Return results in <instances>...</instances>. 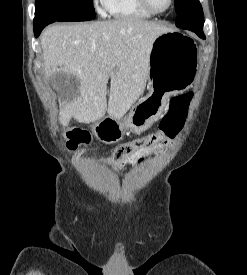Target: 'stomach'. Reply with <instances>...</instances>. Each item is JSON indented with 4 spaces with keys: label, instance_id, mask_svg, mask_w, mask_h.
I'll list each match as a JSON object with an SVG mask.
<instances>
[{
    "label": "stomach",
    "instance_id": "stomach-1",
    "mask_svg": "<svg viewBox=\"0 0 247 275\" xmlns=\"http://www.w3.org/2000/svg\"><path fill=\"white\" fill-rule=\"evenodd\" d=\"M197 56L193 41L175 31L158 36L149 53V93L119 122L105 119L93 126L95 136L104 143L122 139L124 129L142 132L164 112L168 98L184 92L194 83Z\"/></svg>",
    "mask_w": 247,
    "mask_h": 275
}]
</instances>
